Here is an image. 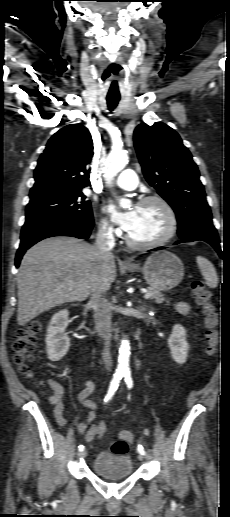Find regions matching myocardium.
Returning <instances> with one entry per match:
<instances>
[{"label": "myocardium", "mask_w": 230, "mask_h": 517, "mask_svg": "<svg viewBox=\"0 0 230 517\" xmlns=\"http://www.w3.org/2000/svg\"><path fill=\"white\" fill-rule=\"evenodd\" d=\"M149 203H157L164 211L166 217H167V228L162 236L157 238L156 240L149 241V242H138L130 237V235L126 234V242L129 246L135 249H153L160 247L167 242H169L174 235L177 232L178 229V219L177 215L172 208V206L169 204L167 200H165L163 197L159 195H150L142 198L138 202V206H143Z\"/></svg>", "instance_id": "myocardium-1"}]
</instances>
